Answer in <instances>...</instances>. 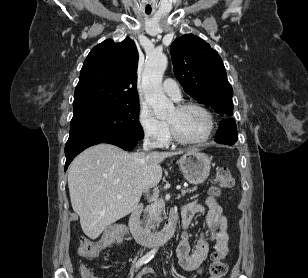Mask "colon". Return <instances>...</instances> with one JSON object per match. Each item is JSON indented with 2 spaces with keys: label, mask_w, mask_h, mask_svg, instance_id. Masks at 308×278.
I'll return each mask as SVG.
<instances>
[{
  "label": "colon",
  "mask_w": 308,
  "mask_h": 278,
  "mask_svg": "<svg viewBox=\"0 0 308 278\" xmlns=\"http://www.w3.org/2000/svg\"><path fill=\"white\" fill-rule=\"evenodd\" d=\"M234 179L230 171L221 168L217 171L214 178V186L210 190L212 196H217L222 188H230L233 186ZM126 226H113L105 228V238L92 240L87 237H81L79 240V252L86 258H94L99 255L103 247H114L115 237H126L128 235ZM119 238L120 240L122 238ZM105 239V240H104ZM227 272L225 256L219 252H214L211 256L209 265V278H223ZM88 278H90L87 273Z\"/></svg>",
  "instance_id": "5ec220e1"
}]
</instances>
